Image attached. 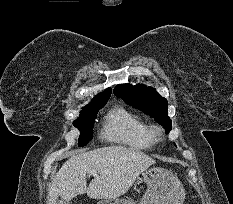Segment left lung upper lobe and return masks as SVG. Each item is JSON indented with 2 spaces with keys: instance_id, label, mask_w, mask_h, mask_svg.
I'll use <instances>...</instances> for the list:
<instances>
[{
  "instance_id": "5c2ea615",
  "label": "left lung upper lobe",
  "mask_w": 233,
  "mask_h": 204,
  "mask_svg": "<svg viewBox=\"0 0 233 204\" xmlns=\"http://www.w3.org/2000/svg\"><path fill=\"white\" fill-rule=\"evenodd\" d=\"M114 93L127 104L132 105L151 115L156 122L162 125L168 133L171 128V119L168 117L167 100L161 97L152 87L130 84L117 85Z\"/></svg>"
}]
</instances>
